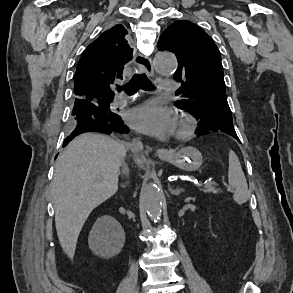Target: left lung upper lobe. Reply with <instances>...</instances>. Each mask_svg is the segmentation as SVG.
<instances>
[{
    "label": "left lung upper lobe",
    "mask_w": 293,
    "mask_h": 293,
    "mask_svg": "<svg viewBox=\"0 0 293 293\" xmlns=\"http://www.w3.org/2000/svg\"><path fill=\"white\" fill-rule=\"evenodd\" d=\"M158 46L174 52L178 60L174 78L182 84L178 92L182 98L175 106L196 115L204 128H233L221 55L208 34L192 22L175 21L162 33Z\"/></svg>",
    "instance_id": "obj_1"
}]
</instances>
